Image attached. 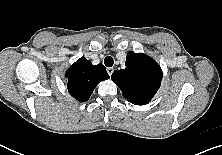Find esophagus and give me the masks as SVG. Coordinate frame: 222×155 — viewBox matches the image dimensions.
<instances>
[{
  "label": "esophagus",
  "instance_id": "esophagus-1",
  "mask_svg": "<svg viewBox=\"0 0 222 155\" xmlns=\"http://www.w3.org/2000/svg\"><path fill=\"white\" fill-rule=\"evenodd\" d=\"M113 71H114V69L112 67L107 68V73L109 74V76L112 75Z\"/></svg>",
  "mask_w": 222,
  "mask_h": 155
}]
</instances>
